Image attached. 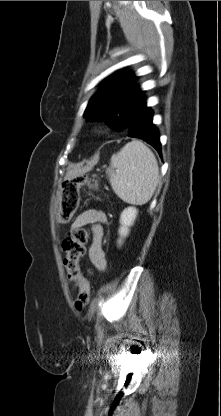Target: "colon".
Here are the masks:
<instances>
[{
  "label": "colon",
  "instance_id": "obj_1",
  "mask_svg": "<svg viewBox=\"0 0 221 416\" xmlns=\"http://www.w3.org/2000/svg\"><path fill=\"white\" fill-rule=\"evenodd\" d=\"M86 176L78 175L66 181L62 186L58 220L62 224L69 223L74 216L79 203V188L88 183ZM88 232L84 228H75L63 240L65 251L64 265L69 278L78 286L75 300L77 310L85 308L90 300V285L80 267V260L85 255Z\"/></svg>",
  "mask_w": 221,
  "mask_h": 416
}]
</instances>
